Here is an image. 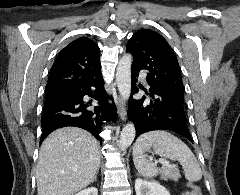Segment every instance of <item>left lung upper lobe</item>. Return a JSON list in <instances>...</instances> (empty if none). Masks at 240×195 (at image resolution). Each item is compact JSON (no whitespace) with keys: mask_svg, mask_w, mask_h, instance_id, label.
Wrapping results in <instances>:
<instances>
[{"mask_svg":"<svg viewBox=\"0 0 240 195\" xmlns=\"http://www.w3.org/2000/svg\"><path fill=\"white\" fill-rule=\"evenodd\" d=\"M126 49L133 57L132 70H146L150 86L160 87L166 94L183 101L184 87L177 58L158 33L142 29L129 40Z\"/></svg>","mask_w":240,"mask_h":195,"instance_id":"obj_1","label":"left lung upper lobe"}]
</instances>
